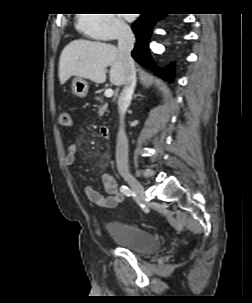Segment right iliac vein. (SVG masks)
<instances>
[{"instance_id":"1","label":"right iliac vein","mask_w":252,"mask_h":303,"mask_svg":"<svg viewBox=\"0 0 252 303\" xmlns=\"http://www.w3.org/2000/svg\"><path fill=\"white\" fill-rule=\"evenodd\" d=\"M124 180L130 185L133 191L139 196L141 200H145V191L142 184L131 174H124Z\"/></svg>"}]
</instances>
